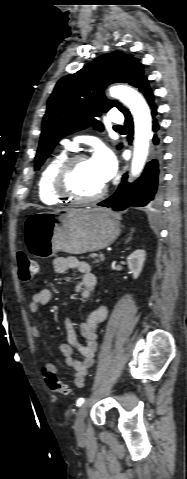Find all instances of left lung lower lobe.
I'll return each instance as SVG.
<instances>
[{"mask_svg": "<svg viewBox=\"0 0 187 479\" xmlns=\"http://www.w3.org/2000/svg\"><path fill=\"white\" fill-rule=\"evenodd\" d=\"M140 92L143 93L152 109V116H156V106L154 96L145 78L138 86ZM125 116V126L129 134V141L132 140L133 121L128 109L122 112ZM159 125L157 119H153V131L157 132ZM154 153L153 159L147 163L141 177L133 183H128L127 174H124L122 183L117 191L108 199L99 203V206L111 207L114 211H122L131 206L144 207L147 205H155L160 201L162 193V141L159 135L153 136Z\"/></svg>", "mask_w": 187, "mask_h": 479, "instance_id": "0a47b994", "label": "left lung lower lobe"}]
</instances>
